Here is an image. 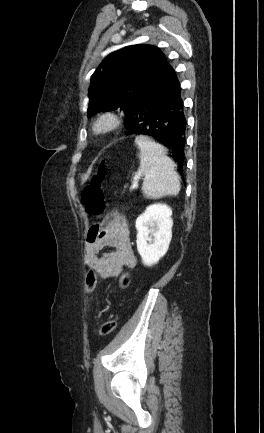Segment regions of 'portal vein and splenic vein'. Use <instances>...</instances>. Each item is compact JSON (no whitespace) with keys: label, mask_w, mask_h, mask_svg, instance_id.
<instances>
[{"label":"portal vein and splenic vein","mask_w":264,"mask_h":433,"mask_svg":"<svg viewBox=\"0 0 264 433\" xmlns=\"http://www.w3.org/2000/svg\"><path fill=\"white\" fill-rule=\"evenodd\" d=\"M137 187H138V182L135 181V182H133V184H132V186L130 187V189H131V190H134V189H136Z\"/></svg>","instance_id":"portal-vein-and-splenic-vein-1"}]
</instances>
